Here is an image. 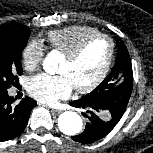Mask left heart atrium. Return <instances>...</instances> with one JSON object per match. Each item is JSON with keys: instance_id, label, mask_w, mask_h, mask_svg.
<instances>
[{"instance_id": "left-heart-atrium-1", "label": "left heart atrium", "mask_w": 153, "mask_h": 153, "mask_svg": "<svg viewBox=\"0 0 153 153\" xmlns=\"http://www.w3.org/2000/svg\"><path fill=\"white\" fill-rule=\"evenodd\" d=\"M73 85L64 74H39L32 77L28 83V91L38 101L55 105L59 100L70 96Z\"/></svg>"}]
</instances>
